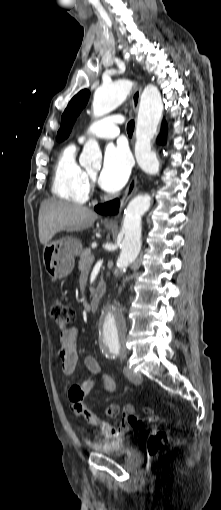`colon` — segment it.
I'll use <instances>...</instances> for the list:
<instances>
[{"label": "colon", "mask_w": 221, "mask_h": 510, "mask_svg": "<svg viewBox=\"0 0 221 510\" xmlns=\"http://www.w3.org/2000/svg\"><path fill=\"white\" fill-rule=\"evenodd\" d=\"M50 312L53 320L55 321V324L57 328L60 331H67L73 322L75 318V312L74 310L66 305L65 303L55 300L52 302L50 307ZM76 389V387L74 388ZM81 396L85 395V392L81 390L80 392ZM117 413V410L114 408H108L106 410V415L113 416ZM84 416L86 420L95 426H99L102 430H109L105 423H102L98 418L89 411L88 409H84ZM157 420V417L150 413L146 412L144 416L132 413L129 414L127 417V422L132 427H138L142 425L143 423H153ZM170 435L165 430H158L152 433L147 441V451L150 456L156 455L158 452H160L163 448L166 447V445L169 443Z\"/></svg>", "instance_id": "colon-1"}]
</instances>
